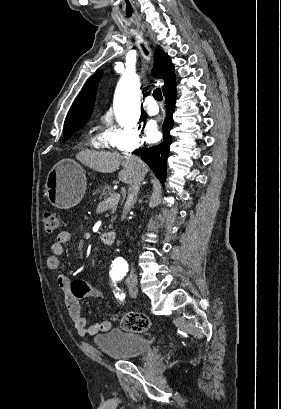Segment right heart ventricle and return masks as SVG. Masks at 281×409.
<instances>
[{
	"instance_id": "e07e8e85",
	"label": "right heart ventricle",
	"mask_w": 281,
	"mask_h": 409,
	"mask_svg": "<svg viewBox=\"0 0 281 409\" xmlns=\"http://www.w3.org/2000/svg\"><path fill=\"white\" fill-rule=\"evenodd\" d=\"M93 147L101 152H104L106 149L109 148L104 132H96L95 136L92 141Z\"/></svg>"
}]
</instances>
